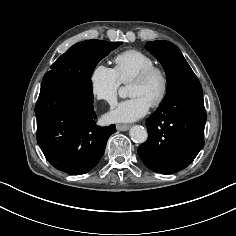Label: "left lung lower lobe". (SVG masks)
I'll use <instances>...</instances> for the list:
<instances>
[{
    "label": "left lung lower lobe",
    "instance_id": "left-lung-lower-lobe-1",
    "mask_svg": "<svg viewBox=\"0 0 236 236\" xmlns=\"http://www.w3.org/2000/svg\"><path fill=\"white\" fill-rule=\"evenodd\" d=\"M206 119L201 84L176 89L146 119L148 139L138 148L144 165L162 174L186 168L204 145Z\"/></svg>",
    "mask_w": 236,
    "mask_h": 236
}]
</instances>
